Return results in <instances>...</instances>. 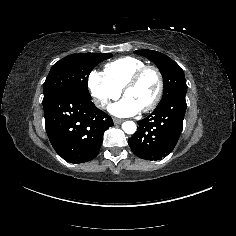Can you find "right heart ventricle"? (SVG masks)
<instances>
[{
	"mask_svg": "<svg viewBox=\"0 0 236 236\" xmlns=\"http://www.w3.org/2000/svg\"><path fill=\"white\" fill-rule=\"evenodd\" d=\"M145 65L146 63L142 59L125 56L107 63L104 66L103 73L116 89L122 91L128 78Z\"/></svg>",
	"mask_w": 236,
	"mask_h": 236,
	"instance_id": "right-heart-ventricle-1",
	"label": "right heart ventricle"
}]
</instances>
